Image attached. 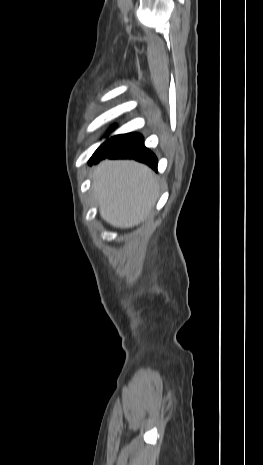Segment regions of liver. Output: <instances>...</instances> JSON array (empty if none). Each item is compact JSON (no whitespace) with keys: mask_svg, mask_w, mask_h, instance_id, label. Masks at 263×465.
Instances as JSON below:
<instances>
[{"mask_svg":"<svg viewBox=\"0 0 263 465\" xmlns=\"http://www.w3.org/2000/svg\"><path fill=\"white\" fill-rule=\"evenodd\" d=\"M92 179L100 215L116 228H131L146 220L159 196L155 173L133 160L102 161Z\"/></svg>","mask_w":263,"mask_h":465,"instance_id":"1","label":"liver"}]
</instances>
